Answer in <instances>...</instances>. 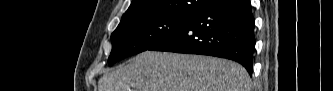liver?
<instances>
[{"instance_id": "obj_1", "label": "liver", "mask_w": 333, "mask_h": 91, "mask_svg": "<svg viewBox=\"0 0 333 91\" xmlns=\"http://www.w3.org/2000/svg\"><path fill=\"white\" fill-rule=\"evenodd\" d=\"M131 88L135 90H131ZM248 72L208 56L145 51L104 74L98 91H250Z\"/></svg>"}]
</instances>
